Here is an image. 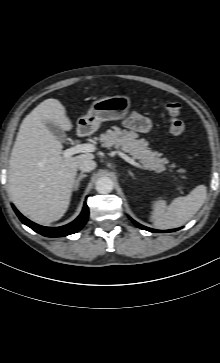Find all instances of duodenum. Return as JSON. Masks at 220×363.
Segmentation results:
<instances>
[{"label":"duodenum","instance_id":"1","mask_svg":"<svg viewBox=\"0 0 220 363\" xmlns=\"http://www.w3.org/2000/svg\"><path fill=\"white\" fill-rule=\"evenodd\" d=\"M86 134V130L85 128L81 127L78 129V135L79 136H84Z\"/></svg>","mask_w":220,"mask_h":363}]
</instances>
